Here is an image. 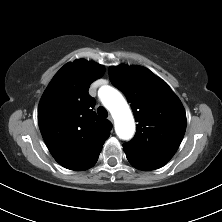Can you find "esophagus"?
<instances>
[{"label":"esophagus","instance_id":"34e87169","mask_svg":"<svg viewBox=\"0 0 222 222\" xmlns=\"http://www.w3.org/2000/svg\"><path fill=\"white\" fill-rule=\"evenodd\" d=\"M108 120L113 123V118L111 116L108 117Z\"/></svg>","mask_w":222,"mask_h":222}]
</instances>
